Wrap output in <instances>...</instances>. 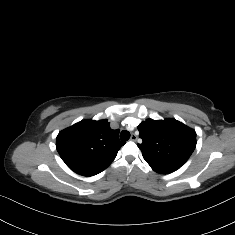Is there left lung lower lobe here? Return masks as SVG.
I'll return each mask as SVG.
<instances>
[{"mask_svg": "<svg viewBox=\"0 0 235 235\" xmlns=\"http://www.w3.org/2000/svg\"><path fill=\"white\" fill-rule=\"evenodd\" d=\"M148 164L151 166V168L155 172L161 173V174H168L180 168L178 166L167 165V164L156 163V162H148Z\"/></svg>", "mask_w": 235, "mask_h": 235, "instance_id": "0a47b994", "label": "left lung lower lobe"}]
</instances>
